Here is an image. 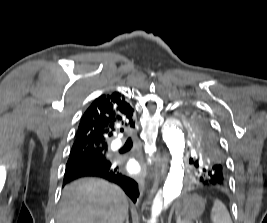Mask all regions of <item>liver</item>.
I'll use <instances>...</instances> for the list:
<instances>
[{
  "label": "liver",
  "mask_w": 267,
  "mask_h": 223,
  "mask_svg": "<svg viewBox=\"0 0 267 223\" xmlns=\"http://www.w3.org/2000/svg\"><path fill=\"white\" fill-rule=\"evenodd\" d=\"M128 207V198L118 186L80 179L64 188L57 223H123Z\"/></svg>",
  "instance_id": "obj_1"
}]
</instances>
